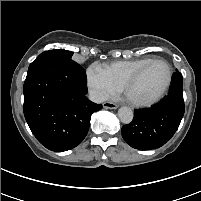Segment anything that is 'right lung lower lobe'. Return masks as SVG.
Masks as SVG:
<instances>
[{"label":"right lung lower lobe","instance_id":"1","mask_svg":"<svg viewBox=\"0 0 201 201\" xmlns=\"http://www.w3.org/2000/svg\"><path fill=\"white\" fill-rule=\"evenodd\" d=\"M23 93L24 116L32 133L56 152L79 145L91 115L102 108L85 96L86 73L73 60L36 59L29 66Z\"/></svg>","mask_w":201,"mask_h":201}]
</instances>
